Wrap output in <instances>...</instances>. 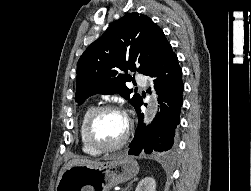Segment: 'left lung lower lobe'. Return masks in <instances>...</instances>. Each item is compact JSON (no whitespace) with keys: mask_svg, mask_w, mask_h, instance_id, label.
<instances>
[{"mask_svg":"<svg viewBox=\"0 0 251 191\" xmlns=\"http://www.w3.org/2000/svg\"><path fill=\"white\" fill-rule=\"evenodd\" d=\"M150 76L157 77L154 84L160 98L159 112L153 122L145 128L140 109L143 104L142 99L135 107L139 121L134 139L130 144L129 155L155 154V152L169 155L174 151V137L180 122L184 85L182 70L172 48L162 56Z\"/></svg>","mask_w":251,"mask_h":191,"instance_id":"1","label":"left lung lower lobe"}]
</instances>
